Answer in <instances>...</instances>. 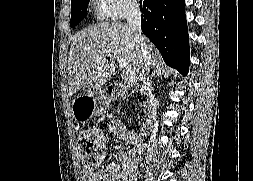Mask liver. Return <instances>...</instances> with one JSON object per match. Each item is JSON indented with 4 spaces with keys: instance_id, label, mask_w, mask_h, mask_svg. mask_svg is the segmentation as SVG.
Returning a JSON list of instances; mask_svg holds the SVG:
<instances>
[{
    "instance_id": "obj_1",
    "label": "liver",
    "mask_w": 253,
    "mask_h": 181,
    "mask_svg": "<svg viewBox=\"0 0 253 181\" xmlns=\"http://www.w3.org/2000/svg\"><path fill=\"white\" fill-rule=\"evenodd\" d=\"M151 56L149 71L143 61L142 51L135 33L126 23L103 22L90 25L76 33L68 57L69 93L81 88L105 84L115 73L116 56L125 58L135 70L139 81L144 82L151 69L160 68V55L146 39Z\"/></svg>"
}]
</instances>
